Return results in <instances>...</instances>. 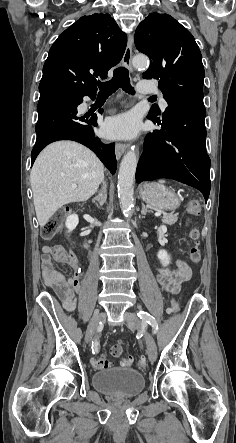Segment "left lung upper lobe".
Wrapping results in <instances>:
<instances>
[{
    "mask_svg": "<svg viewBox=\"0 0 236 443\" xmlns=\"http://www.w3.org/2000/svg\"><path fill=\"white\" fill-rule=\"evenodd\" d=\"M135 45L151 59L143 78L158 79L167 102L183 96L203 97L201 52L192 34L177 20L168 14L150 13L136 29Z\"/></svg>",
    "mask_w": 236,
    "mask_h": 443,
    "instance_id": "1",
    "label": "left lung upper lobe"
}]
</instances>
